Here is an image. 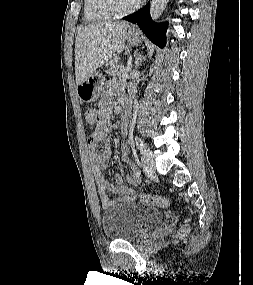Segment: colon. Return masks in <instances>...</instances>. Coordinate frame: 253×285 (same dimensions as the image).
Returning <instances> with one entry per match:
<instances>
[{"label":"colon","mask_w":253,"mask_h":285,"mask_svg":"<svg viewBox=\"0 0 253 285\" xmlns=\"http://www.w3.org/2000/svg\"><path fill=\"white\" fill-rule=\"evenodd\" d=\"M85 118L89 124H95L97 122L96 110L94 109L87 110L85 112ZM134 198L135 200L141 203L152 205V206H157V207H168L169 206V200L163 196L151 195V194H140V195L135 196ZM188 231H189L188 226L183 225L180 228L178 235L184 236L188 233Z\"/></svg>","instance_id":"1"}]
</instances>
